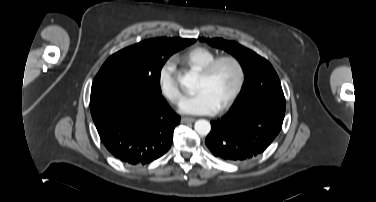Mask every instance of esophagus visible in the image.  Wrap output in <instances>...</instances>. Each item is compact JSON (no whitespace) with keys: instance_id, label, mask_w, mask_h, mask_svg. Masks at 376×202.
Returning <instances> with one entry per match:
<instances>
[{"instance_id":"1","label":"esophagus","mask_w":376,"mask_h":202,"mask_svg":"<svg viewBox=\"0 0 376 202\" xmlns=\"http://www.w3.org/2000/svg\"><path fill=\"white\" fill-rule=\"evenodd\" d=\"M195 121V119L194 118H191V117H183L182 119H181V122L182 123H190V122H194Z\"/></svg>"}]
</instances>
